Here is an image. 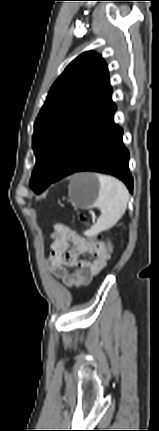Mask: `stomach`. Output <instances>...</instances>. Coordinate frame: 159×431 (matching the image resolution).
<instances>
[{
  "label": "stomach",
  "instance_id": "stomach-1",
  "mask_svg": "<svg viewBox=\"0 0 159 431\" xmlns=\"http://www.w3.org/2000/svg\"><path fill=\"white\" fill-rule=\"evenodd\" d=\"M100 183L95 173L76 174L69 187L72 202L80 208H89L96 204Z\"/></svg>",
  "mask_w": 159,
  "mask_h": 431
}]
</instances>
